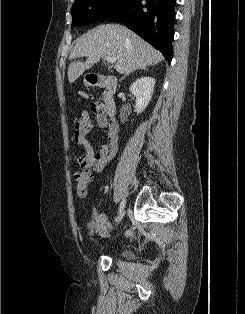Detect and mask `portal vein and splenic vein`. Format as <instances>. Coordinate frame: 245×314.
I'll return each mask as SVG.
<instances>
[{"label":"portal vein and splenic vein","instance_id":"portal-vein-and-splenic-vein-1","mask_svg":"<svg viewBox=\"0 0 245 314\" xmlns=\"http://www.w3.org/2000/svg\"><path fill=\"white\" fill-rule=\"evenodd\" d=\"M105 59L107 62H109L111 64L115 63L117 60L116 57H111V56H105Z\"/></svg>","mask_w":245,"mask_h":314}]
</instances>
